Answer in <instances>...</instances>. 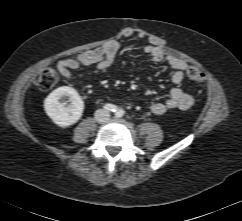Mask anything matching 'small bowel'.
Returning a JSON list of instances; mask_svg holds the SVG:
<instances>
[{
  "instance_id": "1",
  "label": "small bowel",
  "mask_w": 242,
  "mask_h": 221,
  "mask_svg": "<svg viewBox=\"0 0 242 221\" xmlns=\"http://www.w3.org/2000/svg\"><path fill=\"white\" fill-rule=\"evenodd\" d=\"M122 36L126 38L133 37L136 40H142L146 37L144 32L134 31L130 28L124 29ZM120 47V41L113 39L95 49L83 51L76 57L61 59L57 62L56 67L62 77L70 81L85 78L86 75L75 76L73 74V71L82 65H94L95 68L89 76H100L115 63ZM144 52L150 56L151 62H166L169 65L172 70L171 79L175 85L169 90L168 97L164 102H155L151 105V112L155 115H163L175 109H189L194 103L193 96L183 91L179 86L184 79L187 63L176 56L165 53L158 45L152 42L144 46Z\"/></svg>"
}]
</instances>
